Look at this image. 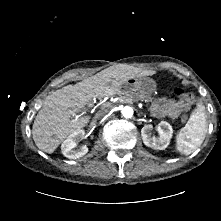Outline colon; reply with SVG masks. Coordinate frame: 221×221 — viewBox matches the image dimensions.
Returning a JSON list of instances; mask_svg holds the SVG:
<instances>
[{
  "mask_svg": "<svg viewBox=\"0 0 221 221\" xmlns=\"http://www.w3.org/2000/svg\"><path fill=\"white\" fill-rule=\"evenodd\" d=\"M174 94L180 98L187 106H191L193 102V96L190 94H186L183 89L177 88L174 90Z\"/></svg>",
  "mask_w": 221,
  "mask_h": 221,
  "instance_id": "obj_1",
  "label": "colon"
}]
</instances>
